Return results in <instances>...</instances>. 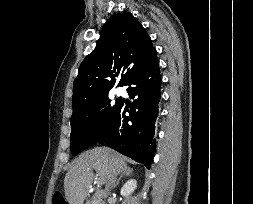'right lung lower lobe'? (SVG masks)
Segmentation results:
<instances>
[{
    "mask_svg": "<svg viewBox=\"0 0 253 204\" xmlns=\"http://www.w3.org/2000/svg\"><path fill=\"white\" fill-rule=\"evenodd\" d=\"M154 49L146 61L127 80V92L135 98L133 104L121 101L111 122L98 140L123 155L151 166L154 152L155 121L161 98V76ZM128 112L129 116L125 113Z\"/></svg>",
    "mask_w": 253,
    "mask_h": 204,
    "instance_id": "obj_1",
    "label": "right lung lower lobe"
}]
</instances>
